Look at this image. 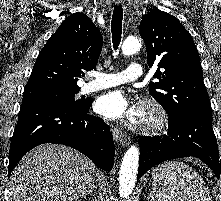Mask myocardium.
<instances>
[{
	"label": "myocardium",
	"instance_id": "f54148a6",
	"mask_svg": "<svg viewBox=\"0 0 221 201\" xmlns=\"http://www.w3.org/2000/svg\"><path fill=\"white\" fill-rule=\"evenodd\" d=\"M139 112L146 118L145 122L131 121V130L153 134L163 131L168 124V114L163 105L155 99L145 98L139 103Z\"/></svg>",
	"mask_w": 221,
	"mask_h": 201
}]
</instances>
